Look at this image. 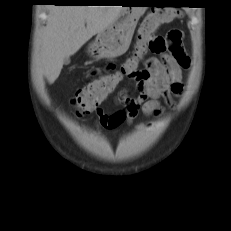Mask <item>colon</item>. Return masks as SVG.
<instances>
[{
    "label": "colon",
    "instance_id": "obj_1",
    "mask_svg": "<svg viewBox=\"0 0 231 231\" xmlns=\"http://www.w3.org/2000/svg\"><path fill=\"white\" fill-rule=\"evenodd\" d=\"M180 16L181 12L175 8L151 10L139 24L132 56L114 71L97 76L76 92L72 102L77 114L83 115L97 110L99 104L116 90L123 79L142 80L145 76L140 67L143 57L150 52L159 54L167 50L164 38L156 35L157 30Z\"/></svg>",
    "mask_w": 231,
    "mask_h": 231
}]
</instances>
